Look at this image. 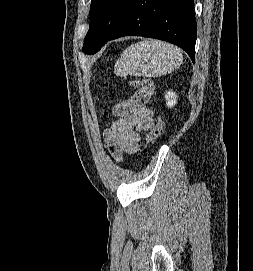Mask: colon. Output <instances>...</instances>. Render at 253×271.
Wrapping results in <instances>:
<instances>
[{
    "mask_svg": "<svg viewBox=\"0 0 253 271\" xmlns=\"http://www.w3.org/2000/svg\"><path fill=\"white\" fill-rule=\"evenodd\" d=\"M139 90L143 92L152 93L154 90V84L149 80H139L136 82ZM162 133V124L160 121L157 122L156 126L147 134L146 144L147 146L153 145L160 138Z\"/></svg>",
    "mask_w": 253,
    "mask_h": 271,
    "instance_id": "5ec220e1",
    "label": "colon"
}]
</instances>
